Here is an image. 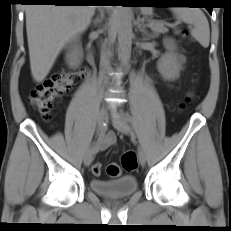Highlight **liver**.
Listing matches in <instances>:
<instances>
[{"mask_svg":"<svg viewBox=\"0 0 231 231\" xmlns=\"http://www.w3.org/2000/svg\"><path fill=\"white\" fill-rule=\"evenodd\" d=\"M96 6L28 5L25 8L30 69L40 83L64 46L90 25Z\"/></svg>","mask_w":231,"mask_h":231,"instance_id":"6515ba94","label":"liver"}]
</instances>
